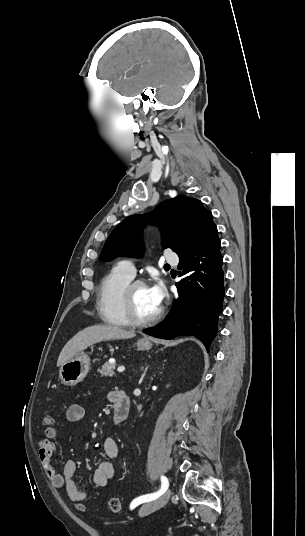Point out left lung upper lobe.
<instances>
[{
    "label": "left lung upper lobe",
    "mask_w": 305,
    "mask_h": 536,
    "mask_svg": "<svg viewBox=\"0 0 305 536\" xmlns=\"http://www.w3.org/2000/svg\"><path fill=\"white\" fill-rule=\"evenodd\" d=\"M148 222L163 229V248H171L178 256L190 252L216 227L211 212L200 200L179 195L160 203L149 214L127 217L111 232L99 259L141 256L144 251L142 232Z\"/></svg>",
    "instance_id": "1"
}]
</instances>
